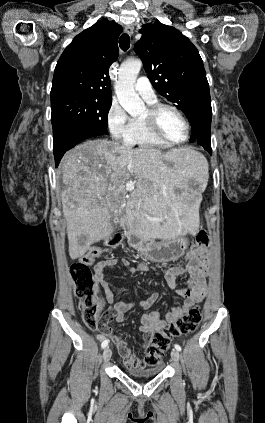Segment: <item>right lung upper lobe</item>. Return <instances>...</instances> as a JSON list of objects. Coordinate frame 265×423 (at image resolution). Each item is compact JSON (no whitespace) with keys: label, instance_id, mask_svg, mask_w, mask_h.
Returning <instances> with one entry per match:
<instances>
[{"label":"right lung upper lobe","instance_id":"right-lung-upper-lobe-1","mask_svg":"<svg viewBox=\"0 0 265 423\" xmlns=\"http://www.w3.org/2000/svg\"><path fill=\"white\" fill-rule=\"evenodd\" d=\"M121 32L115 21L101 19L77 35L57 62L51 98L83 95L112 99L108 70L118 57Z\"/></svg>","mask_w":265,"mask_h":423}]
</instances>
